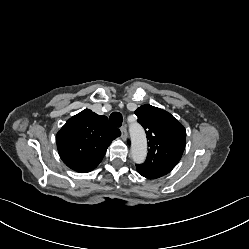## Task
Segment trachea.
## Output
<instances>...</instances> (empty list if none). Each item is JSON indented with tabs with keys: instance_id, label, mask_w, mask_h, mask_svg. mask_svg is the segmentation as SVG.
Here are the masks:
<instances>
[{
	"instance_id": "obj_1",
	"label": "trachea",
	"mask_w": 249,
	"mask_h": 249,
	"mask_svg": "<svg viewBox=\"0 0 249 249\" xmlns=\"http://www.w3.org/2000/svg\"><path fill=\"white\" fill-rule=\"evenodd\" d=\"M109 119H110V122L116 127H120L122 125L123 117H122V114L119 112L111 113Z\"/></svg>"
}]
</instances>
